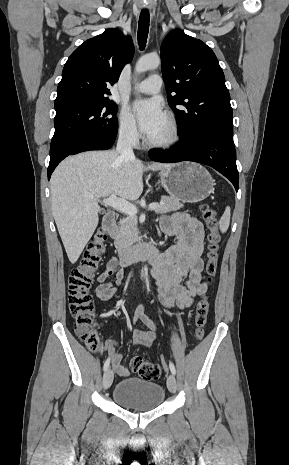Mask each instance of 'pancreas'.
Wrapping results in <instances>:
<instances>
[{
  "mask_svg": "<svg viewBox=\"0 0 289 465\" xmlns=\"http://www.w3.org/2000/svg\"><path fill=\"white\" fill-rule=\"evenodd\" d=\"M161 201L162 203L159 204L158 208L155 210L158 214L176 211L183 208V204L172 197L162 196ZM138 233L137 219L135 217L129 216L121 220L114 234L115 246L119 250L133 246V244L138 242L140 239Z\"/></svg>",
  "mask_w": 289,
  "mask_h": 465,
  "instance_id": "cf45deb5",
  "label": "pancreas"
}]
</instances>
